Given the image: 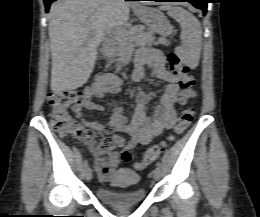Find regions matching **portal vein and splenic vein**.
Segmentation results:
<instances>
[{
	"label": "portal vein and splenic vein",
	"mask_w": 260,
	"mask_h": 217,
	"mask_svg": "<svg viewBox=\"0 0 260 217\" xmlns=\"http://www.w3.org/2000/svg\"><path fill=\"white\" fill-rule=\"evenodd\" d=\"M107 33H109V34H117L118 31H117V30H112V31H109V32H107Z\"/></svg>",
	"instance_id": "1"
}]
</instances>
